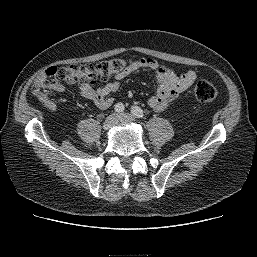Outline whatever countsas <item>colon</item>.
<instances>
[{
  "label": "colon",
  "mask_w": 257,
  "mask_h": 257,
  "mask_svg": "<svg viewBox=\"0 0 257 257\" xmlns=\"http://www.w3.org/2000/svg\"><path fill=\"white\" fill-rule=\"evenodd\" d=\"M135 61L112 59L98 64H68L62 67L47 68L35 83V94L45 104L50 105L46 95L48 90H54L60 81L67 84L93 86L106 82L111 76L119 75ZM192 97L202 103H210L217 97L215 86L208 81H199L192 90Z\"/></svg>",
  "instance_id": "colon-1"
}]
</instances>
